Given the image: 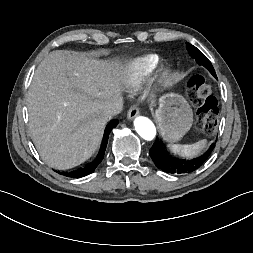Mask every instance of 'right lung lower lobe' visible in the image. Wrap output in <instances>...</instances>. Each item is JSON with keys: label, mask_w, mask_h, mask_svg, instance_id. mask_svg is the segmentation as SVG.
<instances>
[{"label": "right lung lower lobe", "mask_w": 253, "mask_h": 253, "mask_svg": "<svg viewBox=\"0 0 253 253\" xmlns=\"http://www.w3.org/2000/svg\"><path fill=\"white\" fill-rule=\"evenodd\" d=\"M116 125H117V122H115V121L110 122L107 125L105 132H104L102 148H101L98 156L96 157V159L92 163L88 164L87 166H85L82 169L75 170V171H72L69 173L68 172L61 173V174H63L64 176L72 177V178H81V177H84V176L92 173L96 169V167L100 164V162L103 160L106 146H107V142H108L109 133Z\"/></svg>", "instance_id": "obj_1"}]
</instances>
